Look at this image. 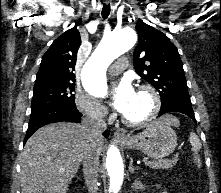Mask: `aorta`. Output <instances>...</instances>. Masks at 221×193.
<instances>
[{
	"label": "aorta",
	"instance_id": "1",
	"mask_svg": "<svg viewBox=\"0 0 221 193\" xmlns=\"http://www.w3.org/2000/svg\"><path fill=\"white\" fill-rule=\"evenodd\" d=\"M136 41V33L129 28L112 31L104 37L82 71L84 88L91 96L95 98L105 97L107 94L104 75L106 67L132 48ZM106 168L109 175L110 190L113 193H118L123 183L124 168L120 152L114 145L108 149Z\"/></svg>",
	"mask_w": 221,
	"mask_h": 193
}]
</instances>
